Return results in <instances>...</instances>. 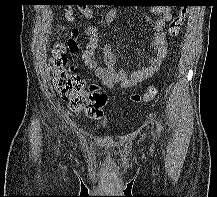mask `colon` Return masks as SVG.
<instances>
[{"mask_svg":"<svg viewBox=\"0 0 217 197\" xmlns=\"http://www.w3.org/2000/svg\"><path fill=\"white\" fill-rule=\"evenodd\" d=\"M189 8V5L183 4L179 13L170 20L168 34L171 37L178 35ZM49 64L54 86L68 107L73 111L83 112L90 118L100 119L107 103V95L98 85H87L85 79L68 65L64 43L56 42L53 45ZM156 94V88L150 86L141 94H133L131 100L134 103L149 102Z\"/></svg>","mask_w":217,"mask_h":197,"instance_id":"5ec220e1","label":"colon"}]
</instances>
